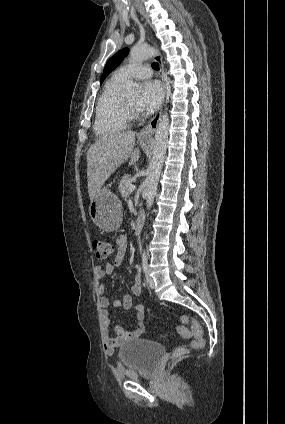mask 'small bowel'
Segmentation results:
<instances>
[{"label": "small bowel", "instance_id": "c3829d8e", "mask_svg": "<svg viewBox=\"0 0 285 424\" xmlns=\"http://www.w3.org/2000/svg\"><path fill=\"white\" fill-rule=\"evenodd\" d=\"M116 254L112 261L107 262L105 265H97L95 268L97 278L99 280L98 295L100 306L105 309L109 306V298L105 293L104 278L107 275L113 274L116 270L120 269L123 263V258L127 250V237L120 235L115 240ZM141 294V277L138 274L135 282L131 286V294H125L121 300L115 299L112 302L114 307H122L125 310L134 308L136 313L137 325L132 331H125L121 326L114 328L115 337L107 338L104 342L106 352H112L116 347L121 346L129 340L139 339L145 332L144 318L145 309L142 304L133 303V296L138 297ZM104 323L109 326L111 323V315L108 311L103 312Z\"/></svg>", "mask_w": 285, "mask_h": 424}]
</instances>
